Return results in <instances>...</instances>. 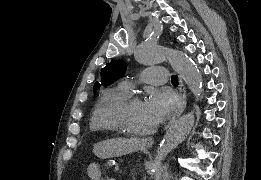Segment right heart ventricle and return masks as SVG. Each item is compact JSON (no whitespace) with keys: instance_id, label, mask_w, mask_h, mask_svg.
Segmentation results:
<instances>
[{"instance_id":"right-heart-ventricle-1","label":"right heart ventricle","mask_w":261,"mask_h":180,"mask_svg":"<svg viewBox=\"0 0 261 180\" xmlns=\"http://www.w3.org/2000/svg\"><path fill=\"white\" fill-rule=\"evenodd\" d=\"M123 87H112L104 90L95 103L88 123L89 133H109V138H92L95 142H102L116 137L111 119V110L126 95Z\"/></svg>"}]
</instances>
